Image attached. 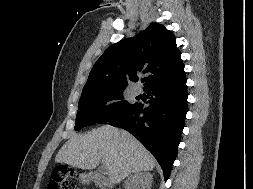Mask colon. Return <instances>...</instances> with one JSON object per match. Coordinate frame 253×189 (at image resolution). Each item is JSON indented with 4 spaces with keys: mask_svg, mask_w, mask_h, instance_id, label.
<instances>
[{
    "mask_svg": "<svg viewBox=\"0 0 253 189\" xmlns=\"http://www.w3.org/2000/svg\"><path fill=\"white\" fill-rule=\"evenodd\" d=\"M74 171L66 166H59L53 171L49 189H76L72 181Z\"/></svg>",
    "mask_w": 253,
    "mask_h": 189,
    "instance_id": "colon-1",
    "label": "colon"
}]
</instances>
